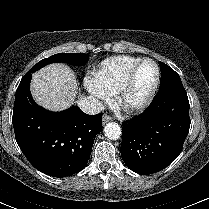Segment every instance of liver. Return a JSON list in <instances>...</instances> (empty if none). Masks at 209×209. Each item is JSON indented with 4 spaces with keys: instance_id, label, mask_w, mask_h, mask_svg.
<instances>
[{
    "instance_id": "liver-1",
    "label": "liver",
    "mask_w": 209,
    "mask_h": 209,
    "mask_svg": "<svg viewBox=\"0 0 209 209\" xmlns=\"http://www.w3.org/2000/svg\"><path fill=\"white\" fill-rule=\"evenodd\" d=\"M78 82L66 65L54 63L35 72L31 94L37 104L49 111H62L75 103Z\"/></svg>"
}]
</instances>
